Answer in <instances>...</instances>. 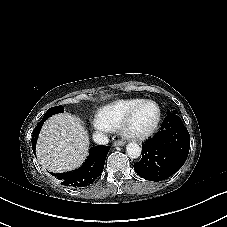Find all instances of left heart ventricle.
<instances>
[{"mask_svg": "<svg viewBox=\"0 0 227 227\" xmlns=\"http://www.w3.org/2000/svg\"><path fill=\"white\" fill-rule=\"evenodd\" d=\"M157 115V107L153 104L145 103L135 112L128 128L133 131H146L155 123Z\"/></svg>", "mask_w": 227, "mask_h": 227, "instance_id": "b2bd125f", "label": "left heart ventricle"}]
</instances>
